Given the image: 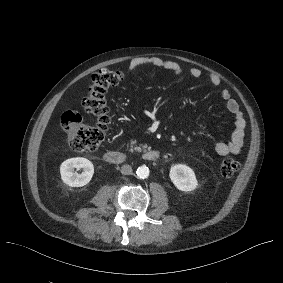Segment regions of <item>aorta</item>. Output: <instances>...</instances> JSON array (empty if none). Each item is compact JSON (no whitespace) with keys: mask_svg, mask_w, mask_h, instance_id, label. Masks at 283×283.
Instances as JSON below:
<instances>
[{"mask_svg":"<svg viewBox=\"0 0 283 283\" xmlns=\"http://www.w3.org/2000/svg\"><path fill=\"white\" fill-rule=\"evenodd\" d=\"M149 173V168L146 166H140L136 170L137 176L142 179L147 178L149 176Z\"/></svg>","mask_w":283,"mask_h":283,"instance_id":"aorta-1","label":"aorta"}]
</instances>
